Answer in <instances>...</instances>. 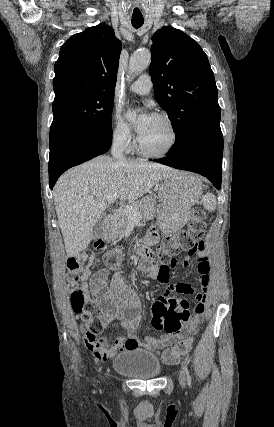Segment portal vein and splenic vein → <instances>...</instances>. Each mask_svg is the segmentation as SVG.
Instances as JSON below:
<instances>
[{
	"label": "portal vein and splenic vein",
	"instance_id": "1",
	"mask_svg": "<svg viewBox=\"0 0 274 427\" xmlns=\"http://www.w3.org/2000/svg\"><path fill=\"white\" fill-rule=\"evenodd\" d=\"M117 198H119L118 194H113V196H109L107 200L109 204H114ZM122 210L126 212V215H128L129 219H136V221H139L141 215L139 212H137V210H135V208H133V206H123Z\"/></svg>",
	"mask_w": 274,
	"mask_h": 427
}]
</instances>
